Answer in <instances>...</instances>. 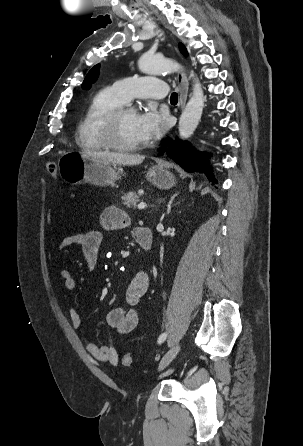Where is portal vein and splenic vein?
<instances>
[{"label":"portal vein and splenic vein","mask_w":303,"mask_h":446,"mask_svg":"<svg viewBox=\"0 0 303 446\" xmlns=\"http://www.w3.org/2000/svg\"><path fill=\"white\" fill-rule=\"evenodd\" d=\"M146 207H147V204L145 202H140L138 204V209L139 210L145 209Z\"/></svg>","instance_id":"obj_1"}]
</instances>
